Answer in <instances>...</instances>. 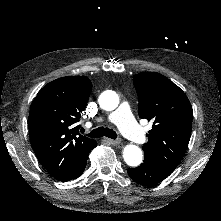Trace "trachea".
Here are the masks:
<instances>
[{
	"label": "trachea",
	"mask_w": 221,
	"mask_h": 221,
	"mask_svg": "<svg viewBox=\"0 0 221 221\" xmlns=\"http://www.w3.org/2000/svg\"><path fill=\"white\" fill-rule=\"evenodd\" d=\"M81 133H85V130L83 128H81ZM86 135L90 138H101L103 136H106L114 140L117 139L118 136L114 130L104 127H98L92 130L91 133H86Z\"/></svg>",
	"instance_id": "obj_1"
}]
</instances>
